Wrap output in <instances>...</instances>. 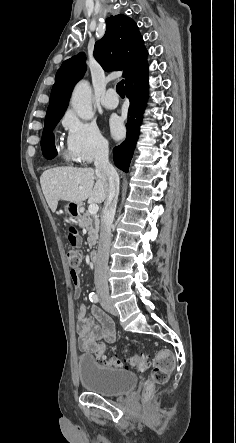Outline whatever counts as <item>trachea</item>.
<instances>
[{
  "mask_svg": "<svg viewBox=\"0 0 236 443\" xmlns=\"http://www.w3.org/2000/svg\"><path fill=\"white\" fill-rule=\"evenodd\" d=\"M116 91L117 93L121 96L124 97V80H121L117 86H116Z\"/></svg>",
  "mask_w": 236,
  "mask_h": 443,
  "instance_id": "obj_1",
  "label": "trachea"
}]
</instances>
